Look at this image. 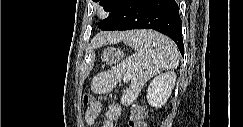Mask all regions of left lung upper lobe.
<instances>
[{
	"label": "left lung upper lobe",
	"instance_id": "left-lung-upper-lobe-1",
	"mask_svg": "<svg viewBox=\"0 0 243 127\" xmlns=\"http://www.w3.org/2000/svg\"><path fill=\"white\" fill-rule=\"evenodd\" d=\"M95 2H99L100 5L105 6L106 11H110L111 13L123 2V0H93ZM106 25V19H104L100 23V28Z\"/></svg>",
	"mask_w": 243,
	"mask_h": 127
}]
</instances>
